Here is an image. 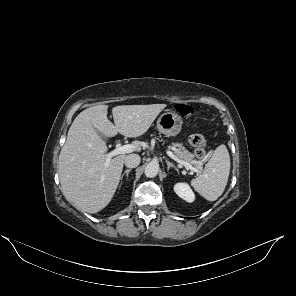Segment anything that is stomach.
<instances>
[{"label":"stomach","instance_id":"0dacf381","mask_svg":"<svg viewBox=\"0 0 296 296\" xmlns=\"http://www.w3.org/2000/svg\"><path fill=\"white\" fill-rule=\"evenodd\" d=\"M158 130L166 136H176L182 128L181 117L172 111L163 113L157 120Z\"/></svg>","mask_w":296,"mask_h":296}]
</instances>
